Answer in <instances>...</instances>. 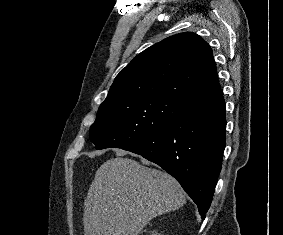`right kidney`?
Returning <instances> with one entry per match:
<instances>
[{
  "label": "right kidney",
  "instance_id": "obj_1",
  "mask_svg": "<svg viewBox=\"0 0 283 235\" xmlns=\"http://www.w3.org/2000/svg\"><path fill=\"white\" fill-rule=\"evenodd\" d=\"M152 235H160V234L155 233V234H152Z\"/></svg>",
  "mask_w": 283,
  "mask_h": 235
}]
</instances>
